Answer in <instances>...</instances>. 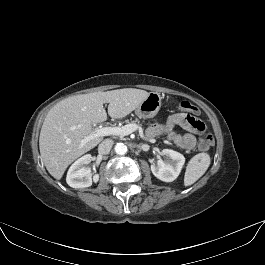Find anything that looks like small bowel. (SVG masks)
Returning <instances> with one entry per match:
<instances>
[{"label": "small bowel", "instance_id": "obj_1", "mask_svg": "<svg viewBox=\"0 0 265 265\" xmlns=\"http://www.w3.org/2000/svg\"><path fill=\"white\" fill-rule=\"evenodd\" d=\"M179 126L187 131L185 134H180L176 131ZM205 131L204 123L194 115L185 113H177L171 115L166 124L153 125L148 130V135L153 137L164 134L167 139L174 142L177 146L184 150H191L196 143L195 135Z\"/></svg>", "mask_w": 265, "mask_h": 265}]
</instances>
